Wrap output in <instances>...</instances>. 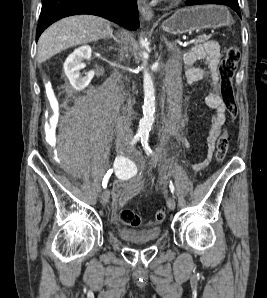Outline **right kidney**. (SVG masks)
Masks as SVG:
<instances>
[{"mask_svg": "<svg viewBox=\"0 0 267 298\" xmlns=\"http://www.w3.org/2000/svg\"><path fill=\"white\" fill-rule=\"evenodd\" d=\"M91 47L88 45L75 49L65 60L63 68L65 75L69 79L72 87L81 91L86 88L94 77V71H90L86 76H80V70L85 67L83 60L91 58Z\"/></svg>", "mask_w": 267, "mask_h": 298, "instance_id": "ca27d5eb", "label": "right kidney"}]
</instances>
